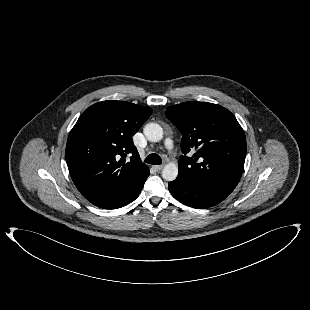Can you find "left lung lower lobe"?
<instances>
[{
    "mask_svg": "<svg viewBox=\"0 0 310 310\" xmlns=\"http://www.w3.org/2000/svg\"><path fill=\"white\" fill-rule=\"evenodd\" d=\"M168 189L183 204L199 209L215 206L229 195L209 187L191 183L180 177L170 182Z\"/></svg>",
    "mask_w": 310,
    "mask_h": 310,
    "instance_id": "obj_1",
    "label": "left lung lower lobe"
}]
</instances>
